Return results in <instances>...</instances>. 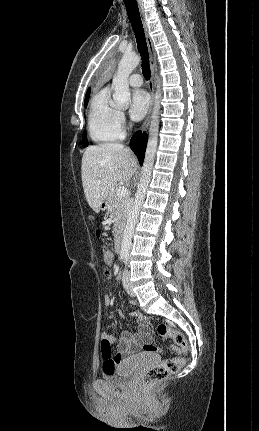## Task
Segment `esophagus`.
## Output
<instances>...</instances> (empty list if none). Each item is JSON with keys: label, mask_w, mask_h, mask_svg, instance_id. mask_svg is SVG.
<instances>
[{"label": "esophagus", "mask_w": 259, "mask_h": 431, "mask_svg": "<svg viewBox=\"0 0 259 431\" xmlns=\"http://www.w3.org/2000/svg\"><path fill=\"white\" fill-rule=\"evenodd\" d=\"M139 10H140V15H141L144 33H145V37H146V43H147V48H148V53H149V60H150V69H151V77H150V81L148 84L149 91L151 94V100H150V105H149L146 119H145V121L141 127V131L144 132L149 127L153 103H154L155 70H156L157 61H156V53H155L153 41L149 35L148 25H147V22H146V19L144 16V11H143V8H142L140 2H139Z\"/></svg>", "instance_id": "34e87169"}]
</instances>
